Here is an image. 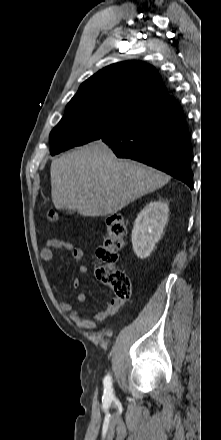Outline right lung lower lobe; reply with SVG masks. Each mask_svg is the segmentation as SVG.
<instances>
[{
	"label": "right lung lower lobe",
	"instance_id": "1",
	"mask_svg": "<svg viewBox=\"0 0 221 440\" xmlns=\"http://www.w3.org/2000/svg\"><path fill=\"white\" fill-rule=\"evenodd\" d=\"M119 158L137 160L192 189V146L181 106L170 95L134 111L100 138Z\"/></svg>",
	"mask_w": 221,
	"mask_h": 440
}]
</instances>
